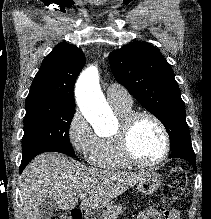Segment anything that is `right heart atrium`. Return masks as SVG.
<instances>
[{
	"label": "right heart atrium",
	"instance_id": "obj_1",
	"mask_svg": "<svg viewBox=\"0 0 211 219\" xmlns=\"http://www.w3.org/2000/svg\"><path fill=\"white\" fill-rule=\"evenodd\" d=\"M67 139L73 150L82 157H89L97 142V136L79 110L74 111L69 120Z\"/></svg>",
	"mask_w": 211,
	"mask_h": 219
}]
</instances>
